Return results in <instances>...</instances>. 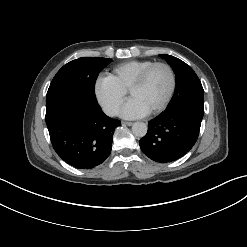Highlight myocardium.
I'll return each instance as SVG.
<instances>
[{
	"label": "myocardium",
	"instance_id": "myocardium-1",
	"mask_svg": "<svg viewBox=\"0 0 247 247\" xmlns=\"http://www.w3.org/2000/svg\"><path fill=\"white\" fill-rule=\"evenodd\" d=\"M158 66H163L169 71L170 77H171V85H170V89H169L168 94L165 97V99L157 107H155L153 110L149 111L148 112L149 114H156V113L161 112L162 110H164L167 107V105L171 101V99L175 93L176 86H177V77H176V73H175V70L173 69V67L167 62H162V61L154 62L150 66L145 68L138 75V77L132 82V84L130 85V87L128 89V94H130V92L132 90L142 86L143 83L145 82V80L147 79L148 75L150 74V72Z\"/></svg>",
	"mask_w": 247,
	"mask_h": 247
}]
</instances>
